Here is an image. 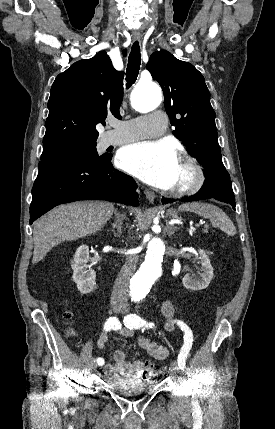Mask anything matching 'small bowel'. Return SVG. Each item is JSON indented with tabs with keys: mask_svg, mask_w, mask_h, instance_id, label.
Here are the masks:
<instances>
[{
	"mask_svg": "<svg viewBox=\"0 0 275 429\" xmlns=\"http://www.w3.org/2000/svg\"><path fill=\"white\" fill-rule=\"evenodd\" d=\"M162 314L166 319V328L172 330L174 328L173 316L174 308L170 301H165L162 306ZM118 332L124 337H132L133 330L122 327L118 329ZM108 341V334L103 333L98 340V347L104 348ZM138 345L144 349L147 354L156 360H164L168 356V350L166 347L152 342L144 336L137 338ZM114 364H107L105 366V373L110 377H116L117 375L127 377H138L147 366L148 362L137 360L133 363H128L125 359V354L121 350L114 352Z\"/></svg>",
	"mask_w": 275,
	"mask_h": 429,
	"instance_id": "c3829d8e",
	"label": "small bowel"
}]
</instances>
